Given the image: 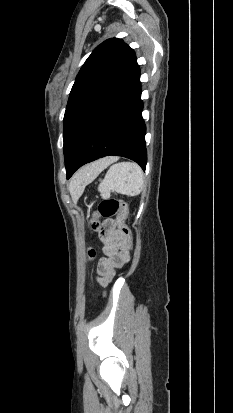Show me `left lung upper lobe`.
<instances>
[{
    "instance_id": "obj_1",
    "label": "left lung upper lobe",
    "mask_w": 233,
    "mask_h": 413,
    "mask_svg": "<svg viewBox=\"0 0 233 413\" xmlns=\"http://www.w3.org/2000/svg\"><path fill=\"white\" fill-rule=\"evenodd\" d=\"M135 62L133 49L118 38L104 41L87 58L65 111V164L72 160L90 122L125 81Z\"/></svg>"
}]
</instances>
